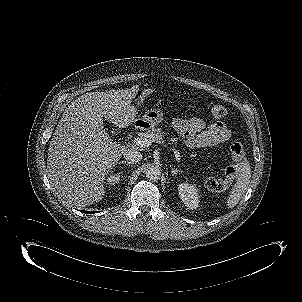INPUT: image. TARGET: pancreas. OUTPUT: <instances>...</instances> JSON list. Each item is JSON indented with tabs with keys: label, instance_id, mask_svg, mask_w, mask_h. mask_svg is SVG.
Here are the masks:
<instances>
[{
	"label": "pancreas",
	"instance_id": "1",
	"mask_svg": "<svg viewBox=\"0 0 302 302\" xmlns=\"http://www.w3.org/2000/svg\"><path fill=\"white\" fill-rule=\"evenodd\" d=\"M166 135L161 128H153L151 131L145 133L148 139L156 143H163ZM167 140L177 144V138H167Z\"/></svg>",
	"mask_w": 302,
	"mask_h": 302
}]
</instances>
